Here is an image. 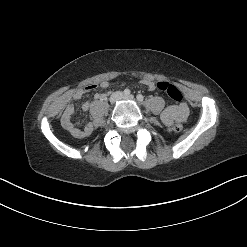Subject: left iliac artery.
I'll return each instance as SVG.
<instances>
[{"label": "left iliac artery", "mask_w": 247, "mask_h": 247, "mask_svg": "<svg viewBox=\"0 0 247 247\" xmlns=\"http://www.w3.org/2000/svg\"><path fill=\"white\" fill-rule=\"evenodd\" d=\"M136 98H137V100L140 101V102H142V101L144 100V96L141 95V94H138V95L136 96Z\"/></svg>", "instance_id": "44dca946"}]
</instances>
